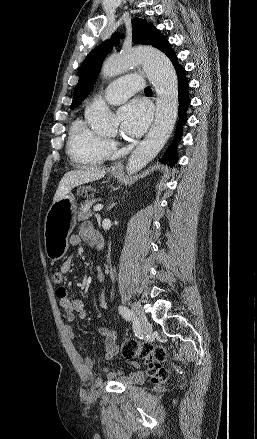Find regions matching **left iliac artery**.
<instances>
[{
    "label": "left iliac artery",
    "mask_w": 257,
    "mask_h": 439,
    "mask_svg": "<svg viewBox=\"0 0 257 439\" xmlns=\"http://www.w3.org/2000/svg\"><path fill=\"white\" fill-rule=\"evenodd\" d=\"M119 312L126 320H131L133 314L127 307L119 306Z\"/></svg>",
    "instance_id": "left-iliac-artery-1"
}]
</instances>
